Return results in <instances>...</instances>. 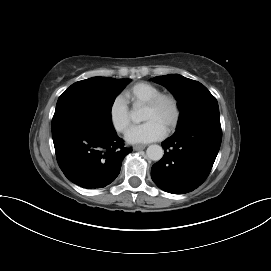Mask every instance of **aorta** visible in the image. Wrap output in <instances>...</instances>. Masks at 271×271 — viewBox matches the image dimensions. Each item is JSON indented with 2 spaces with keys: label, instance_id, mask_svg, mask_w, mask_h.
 <instances>
[{
  "label": "aorta",
  "instance_id": "762f6f07",
  "mask_svg": "<svg viewBox=\"0 0 271 271\" xmlns=\"http://www.w3.org/2000/svg\"><path fill=\"white\" fill-rule=\"evenodd\" d=\"M130 116H131L132 121L136 123H139L144 120L142 113L137 109H134L133 111H131ZM146 154L150 160L159 161L163 157L164 151L161 146L153 144L147 148Z\"/></svg>",
  "mask_w": 271,
  "mask_h": 271
}]
</instances>
